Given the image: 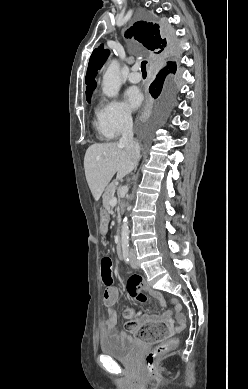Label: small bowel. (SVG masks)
Segmentation results:
<instances>
[{
	"mask_svg": "<svg viewBox=\"0 0 248 389\" xmlns=\"http://www.w3.org/2000/svg\"><path fill=\"white\" fill-rule=\"evenodd\" d=\"M145 273L144 272H131L130 276L127 277V286H126V292L129 295V297L136 303L141 304L144 303L148 296L153 297L157 300H159L161 303L165 302V298L162 293L159 291L151 289L148 284L144 280ZM113 288L118 295V290L115 287ZM118 298V297H117ZM115 303V302H114ZM108 305L107 310V318L103 322L102 326V336L106 335H112V334H121L123 336H128V334L125 331L118 332L117 331V314L115 309L113 308V304ZM169 313H165L163 315H147L141 319V321L137 324V327L134 330H138V327L144 323V322H154L161 319L168 318Z\"/></svg>",
	"mask_w": 248,
	"mask_h": 389,
	"instance_id": "1",
	"label": "small bowel"
}]
</instances>
